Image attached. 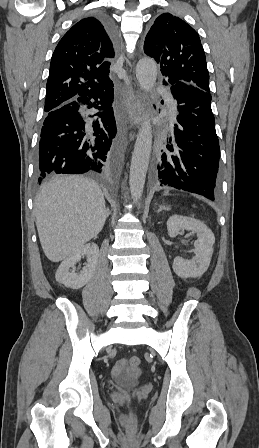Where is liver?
<instances>
[{"instance_id":"liver-1","label":"liver","mask_w":259,"mask_h":448,"mask_svg":"<svg viewBox=\"0 0 259 448\" xmlns=\"http://www.w3.org/2000/svg\"><path fill=\"white\" fill-rule=\"evenodd\" d=\"M36 226L45 256L61 262L101 232L108 216L94 180L60 176L43 184L35 200Z\"/></svg>"}]
</instances>
